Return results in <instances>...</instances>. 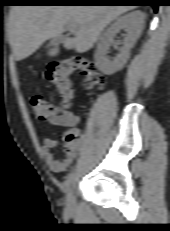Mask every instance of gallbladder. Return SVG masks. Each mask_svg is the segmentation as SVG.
<instances>
[{
	"mask_svg": "<svg viewBox=\"0 0 170 231\" xmlns=\"http://www.w3.org/2000/svg\"><path fill=\"white\" fill-rule=\"evenodd\" d=\"M63 37L62 38H57V39H52L49 44H48V47L49 46H53V45H56L58 42L62 41Z\"/></svg>",
	"mask_w": 170,
	"mask_h": 231,
	"instance_id": "1",
	"label": "gallbladder"
}]
</instances>
